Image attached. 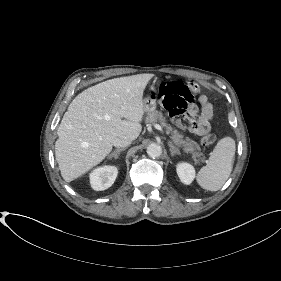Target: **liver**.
<instances>
[{
	"mask_svg": "<svg viewBox=\"0 0 281 281\" xmlns=\"http://www.w3.org/2000/svg\"><path fill=\"white\" fill-rule=\"evenodd\" d=\"M149 80L148 74L110 79L84 90L70 103L55 143L56 161L66 182L102 162L115 138L137 139Z\"/></svg>",
	"mask_w": 281,
	"mask_h": 281,
	"instance_id": "obj_1",
	"label": "liver"
}]
</instances>
